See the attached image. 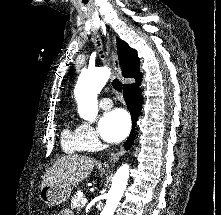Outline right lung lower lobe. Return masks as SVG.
Segmentation results:
<instances>
[{"label":"right lung lower lobe","instance_id":"obj_1","mask_svg":"<svg viewBox=\"0 0 221 215\" xmlns=\"http://www.w3.org/2000/svg\"><path fill=\"white\" fill-rule=\"evenodd\" d=\"M136 82H137L136 84H129V85L124 86V92H123L124 99L130 110L132 120H133L132 132L130 134L129 139L127 140L125 144L126 149H129L133 143L134 123L136 119L138 118V115L140 114L141 104H142L141 91L138 88L141 82V78L136 80Z\"/></svg>","mask_w":221,"mask_h":215}]
</instances>
